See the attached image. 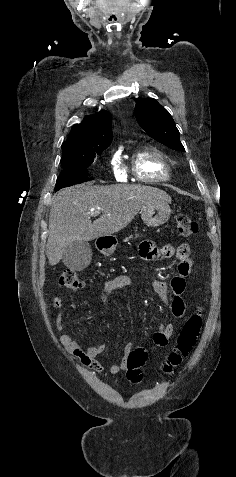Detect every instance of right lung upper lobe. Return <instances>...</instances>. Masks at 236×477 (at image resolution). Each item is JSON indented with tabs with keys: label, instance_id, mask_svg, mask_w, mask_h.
<instances>
[{
	"label": "right lung upper lobe",
	"instance_id": "obj_1",
	"mask_svg": "<svg viewBox=\"0 0 236 477\" xmlns=\"http://www.w3.org/2000/svg\"><path fill=\"white\" fill-rule=\"evenodd\" d=\"M112 141V122L105 110L94 116H86L82 123L75 124L62 145V161L75 156L96 152L108 147Z\"/></svg>",
	"mask_w": 236,
	"mask_h": 477
}]
</instances>
